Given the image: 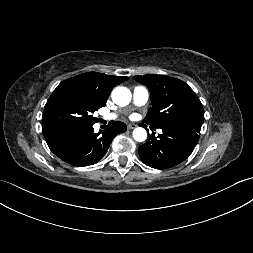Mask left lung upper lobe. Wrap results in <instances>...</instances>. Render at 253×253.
Listing matches in <instances>:
<instances>
[{
  "label": "left lung upper lobe",
  "instance_id": "1",
  "mask_svg": "<svg viewBox=\"0 0 253 253\" xmlns=\"http://www.w3.org/2000/svg\"><path fill=\"white\" fill-rule=\"evenodd\" d=\"M137 82L148 87L152 108L143 120L161 127H193L204 122L203 106L185 82L165 75H137Z\"/></svg>",
  "mask_w": 253,
  "mask_h": 253
}]
</instances>
